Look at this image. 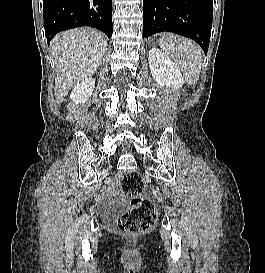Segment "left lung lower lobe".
I'll return each instance as SVG.
<instances>
[{"label": "left lung lower lobe", "mask_w": 265, "mask_h": 273, "mask_svg": "<svg viewBox=\"0 0 265 273\" xmlns=\"http://www.w3.org/2000/svg\"><path fill=\"white\" fill-rule=\"evenodd\" d=\"M212 0H143V37L173 32L195 40L208 51Z\"/></svg>", "instance_id": "obj_1"}]
</instances>
